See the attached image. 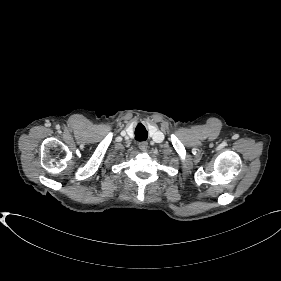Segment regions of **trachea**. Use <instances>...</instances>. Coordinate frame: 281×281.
Segmentation results:
<instances>
[{
    "mask_svg": "<svg viewBox=\"0 0 281 281\" xmlns=\"http://www.w3.org/2000/svg\"><path fill=\"white\" fill-rule=\"evenodd\" d=\"M148 137V132L145 127L139 124L135 129V139L137 141H145Z\"/></svg>",
    "mask_w": 281,
    "mask_h": 281,
    "instance_id": "3493384b",
    "label": "trachea"
}]
</instances>
